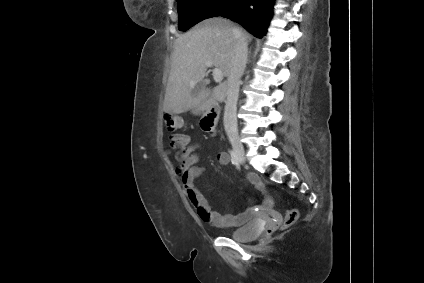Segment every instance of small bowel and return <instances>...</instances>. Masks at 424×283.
Masks as SVG:
<instances>
[{
  "instance_id": "obj_1",
  "label": "small bowel",
  "mask_w": 424,
  "mask_h": 283,
  "mask_svg": "<svg viewBox=\"0 0 424 283\" xmlns=\"http://www.w3.org/2000/svg\"><path fill=\"white\" fill-rule=\"evenodd\" d=\"M170 145L173 149L178 150L177 159L179 165L176 173L185 189L186 195L195 208L198 216L204 222L219 228H232L245 223L251 216L252 210L238 214H220L212 211L208 202L202 193L196 187L195 181L204 172V168L198 165L200 160L198 143L192 142L190 136L186 134H175L171 137ZM217 160L221 165L229 164L230 157L227 152H219ZM248 180L259 190H263L264 186L261 180L255 174H248Z\"/></svg>"
}]
</instances>
